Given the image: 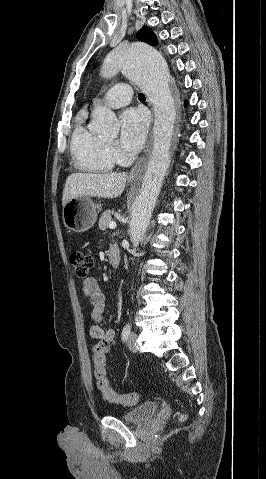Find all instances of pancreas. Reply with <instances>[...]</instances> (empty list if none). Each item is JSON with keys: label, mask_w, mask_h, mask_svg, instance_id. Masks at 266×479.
<instances>
[{"label": "pancreas", "mask_w": 266, "mask_h": 479, "mask_svg": "<svg viewBox=\"0 0 266 479\" xmlns=\"http://www.w3.org/2000/svg\"><path fill=\"white\" fill-rule=\"evenodd\" d=\"M110 222H112L111 211L106 210L99 219V228L101 230L106 229Z\"/></svg>", "instance_id": "obj_1"}]
</instances>
